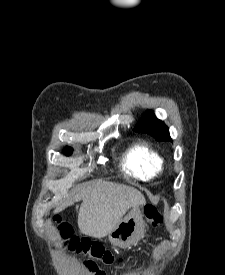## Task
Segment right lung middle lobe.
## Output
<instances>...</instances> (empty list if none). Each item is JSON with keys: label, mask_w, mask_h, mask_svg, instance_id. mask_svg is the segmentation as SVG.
I'll use <instances>...</instances> for the list:
<instances>
[{"label": "right lung middle lobe", "mask_w": 225, "mask_h": 275, "mask_svg": "<svg viewBox=\"0 0 225 275\" xmlns=\"http://www.w3.org/2000/svg\"><path fill=\"white\" fill-rule=\"evenodd\" d=\"M64 153H65V155H70L71 153H72V148H70V147H67V148H65L64 149Z\"/></svg>", "instance_id": "1"}]
</instances>
